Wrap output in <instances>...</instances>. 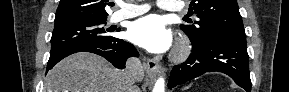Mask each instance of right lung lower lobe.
Masks as SVG:
<instances>
[{
  "label": "right lung lower lobe",
  "mask_w": 289,
  "mask_h": 92,
  "mask_svg": "<svg viewBox=\"0 0 289 92\" xmlns=\"http://www.w3.org/2000/svg\"><path fill=\"white\" fill-rule=\"evenodd\" d=\"M76 52H91L98 54L120 69L125 67V62L128 57L138 55L137 50L132 44L118 38L109 42L79 43L50 53L46 72L52 69L60 60Z\"/></svg>",
  "instance_id": "right-lung-lower-lobe-1"
}]
</instances>
